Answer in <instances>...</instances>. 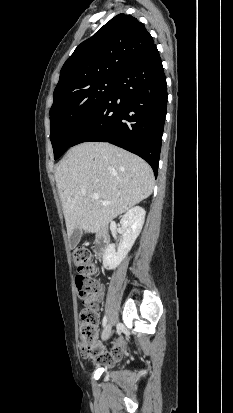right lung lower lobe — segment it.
I'll list each match as a JSON object with an SVG mask.
<instances>
[{
  "mask_svg": "<svg viewBox=\"0 0 233 413\" xmlns=\"http://www.w3.org/2000/svg\"><path fill=\"white\" fill-rule=\"evenodd\" d=\"M166 107V78L153 44L119 71L111 94L72 146L109 142L146 160L156 177Z\"/></svg>",
  "mask_w": 233,
  "mask_h": 413,
  "instance_id": "98d812e1",
  "label": "right lung lower lobe"
}]
</instances>
